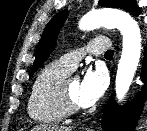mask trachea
Masks as SVG:
<instances>
[{
	"instance_id": "3493384b",
	"label": "trachea",
	"mask_w": 147,
	"mask_h": 131,
	"mask_svg": "<svg viewBox=\"0 0 147 131\" xmlns=\"http://www.w3.org/2000/svg\"><path fill=\"white\" fill-rule=\"evenodd\" d=\"M113 54H114V51H113V50H108V51L105 53V57H106V58H112V57H113Z\"/></svg>"
}]
</instances>
